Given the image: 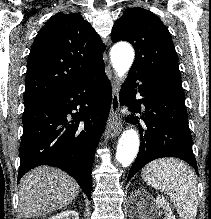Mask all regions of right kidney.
<instances>
[{"label": "right kidney", "mask_w": 211, "mask_h": 219, "mask_svg": "<svg viewBox=\"0 0 211 219\" xmlns=\"http://www.w3.org/2000/svg\"><path fill=\"white\" fill-rule=\"evenodd\" d=\"M48 219H79V215L74 210H66L63 212H60Z\"/></svg>", "instance_id": "ca27d5eb"}]
</instances>
